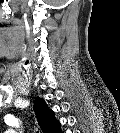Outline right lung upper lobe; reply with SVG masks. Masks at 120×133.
<instances>
[{
	"mask_svg": "<svg viewBox=\"0 0 120 133\" xmlns=\"http://www.w3.org/2000/svg\"><path fill=\"white\" fill-rule=\"evenodd\" d=\"M36 117L44 133H58L60 123L54 119V112L48 108L45 101L37 98L34 104Z\"/></svg>",
	"mask_w": 120,
	"mask_h": 133,
	"instance_id": "1",
	"label": "right lung upper lobe"
}]
</instances>
